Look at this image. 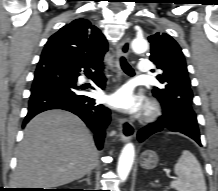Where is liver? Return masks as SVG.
Listing matches in <instances>:
<instances>
[{
    "label": "liver",
    "instance_id": "1",
    "mask_svg": "<svg viewBox=\"0 0 218 191\" xmlns=\"http://www.w3.org/2000/svg\"><path fill=\"white\" fill-rule=\"evenodd\" d=\"M97 163L98 152L84 122L72 113L49 110L24 130L14 183L21 188L58 187L82 178Z\"/></svg>",
    "mask_w": 218,
    "mask_h": 191
}]
</instances>
